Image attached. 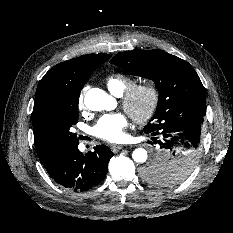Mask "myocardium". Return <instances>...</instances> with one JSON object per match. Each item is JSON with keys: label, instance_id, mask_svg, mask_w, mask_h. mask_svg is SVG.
I'll use <instances>...</instances> for the list:
<instances>
[{"label": "myocardium", "instance_id": "obj_1", "mask_svg": "<svg viewBox=\"0 0 233 233\" xmlns=\"http://www.w3.org/2000/svg\"><path fill=\"white\" fill-rule=\"evenodd\" d=\"M140 98L145 101L143 109H139L137 102ZM122 106L134 122L148 123L156 114L160 103V92L151 80H144L128 86L121 95Z\"/></svg>", "mask_w": 233, "mask_h": 233}]
</instances>
